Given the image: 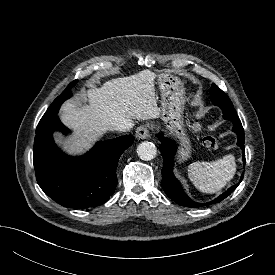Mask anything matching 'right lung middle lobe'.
Segmentation results:
<instances>
[{
  "instance_id": "right-lung-middle-lobe-1",
  "label": "right lung middle lobe",
  "mask_w": 275,
  "mask_h": 275,
  "mask_svg": "<svg viewBox=\"0 0 275 275\" xmlns=\"http://www.w3.org/2000/svg\"><path fill=\"white\" fill-rule=\"evenodd\" d=\"M75 84V82L70 83L66 89L62 92L60 96H58L54 102L51 104V106L48 109H52L55 107L60 106L66 99H68L71 96V87Z\"/></svg>"
}]
</instances>
